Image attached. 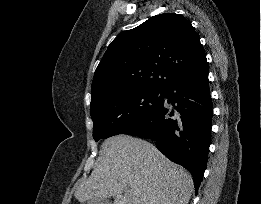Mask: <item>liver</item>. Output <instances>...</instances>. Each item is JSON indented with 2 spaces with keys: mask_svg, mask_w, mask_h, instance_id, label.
<instances>
[{
  "mask_svg": "<svg viewBox=\"0 0 261 204\" xmlns=\"http://www.w3.org/2000/svg\"><path fill=\"white\" fill-rule=\"evenodd\" d=\"M98 163L74 193L80 202L114 198L113 204H188L193 179L151 143L128 135L106 139Z\"/></svg>",
  "mask_w": 261,
  "mask_h": 204,
  "instance_id": "6515ba94",
  "label": "liver"
}]
</instances>
